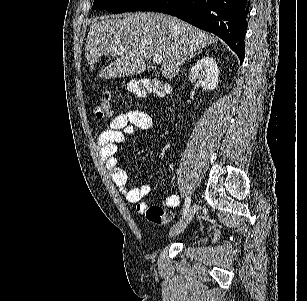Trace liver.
<instances>
[{"label": "liver", "mask_w": 307, "mask_h": 301, "mask_svg": "<svg viewBox=\"0 0 307 301\" xmlns=\"http://www.w3.org/2000/svg\"><path fill=\"white\" fill-rule=\"evenodd\" d=\"M216 40L218 36L211 32L162 12H130L124 18H109L107 14L92 20L85 46L86 62L93 72L101 56L115 58L100 68L99 76L117 78L141 74L146 62L154 54H161L162 76L173 78L186 58Z\"/></svg>", "instance_id": "6515ba94"}]
</instances>
